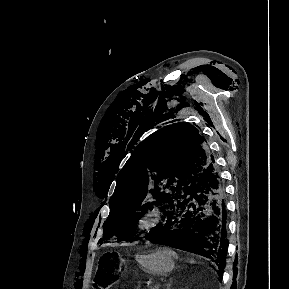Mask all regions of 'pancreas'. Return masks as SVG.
<instances>
[{
  "mask_svg": "<svg viewBox=\"0 0 289 289\" xmlns=\"http://www.w3.org/2000/svg\"><path fill=\"white\" fill-rule=\"evenodd\" d=\"M148 289H159V287H157V286H149Z\"/></svg>",
  "mask_w": 289,
  "mask_h": 289,
  "instance_id": "cf45deb5",
  "label": "pancreas"
}]
</instances>
